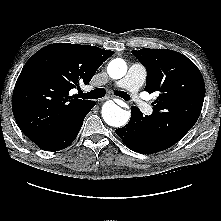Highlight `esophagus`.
<instances>
[{
  "instance_id": "1",
  "label": "esophagus",
  "mask_w": 221,
  "mask_h": 221,
  "mask_svg": "<svg viewBox=\"0 0 221 221\" xmlns=\"http://www.w3.org/2000/svg\"><path fill=\"white\" fill-rule=\"evenodd\" d=\"M110 97H104V98H102L101 99V101H105V100H107V99H109ZM116 100V102L118 103V104H120V103H123L121 100H119V99H115Z\"/></svg>"
}]
</instances>
